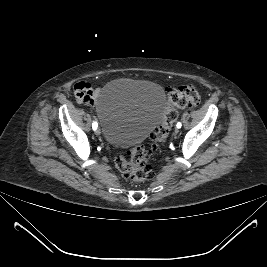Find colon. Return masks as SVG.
<instances>
[{"label":"colon","mask_w":267,"mask_h":267,"mask_svg":"<svg viewBox=\"0 0 267 267\" xmlns=\"http://www.w3.org/2000/svg\"><path fill=\"white\" fill-rule=\"evenodd\" d=\"M167 96L169 105L162 123L150 135L152 140L150 147L137 145L131 149L128 156L118 154L114 159L117 169L130 181L141 182L152 178L153 171L149 166V160L160 151L161 145L166 141L177 119V109L196 107L201 100L198 89L192 85L170 88Z\"/></svg>","instance_id":"colon-1"}]
</instances>
